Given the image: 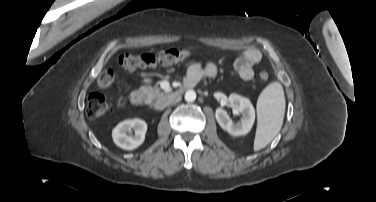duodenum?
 I'll list each match as a JSON object with an SVG mask.
<instances>
[{"label": "duodenum", "instance_id": "obj_1", "mask_svg": "<svg viewBox=\"0 0 376 202\" xmlns=\"http://www.w3.org/2000/svg\"><path fill=\"white\" fill-rule=\"evenodd\" d=\"M192 86V84H189V83H185L183 87L179 88L177 91H175L174 93L172 94H169V95H165L161 98H159L155 103H154V107L155 108H163L165 107L166 105H168L169 103H171L172 101L180 98L182 96V94L184 93V91L188 88H190ZM129 101L130 103L135 106V107H139V106H142L143 105V102H144V96L142 94V92L138 91V90H134L130 93V96H129Z\"/></svg>", "mask_w": 376, "mask_h": 202}]
</instances>
